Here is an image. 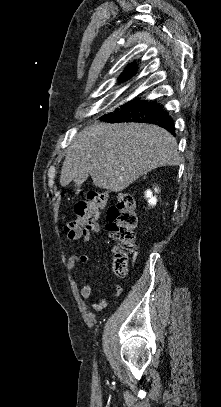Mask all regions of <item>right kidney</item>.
Instances as JSON below:
<instances>
[{"label": "right kidney", "mask_w": 221, "mask_h": 407, "mask_svg": "<svg viewBox=\"0 0 221 407\" xmlns=\"http://www.w3.org/2000/svg\"><path fill=\"white\" fill-rule=\"evenodd\" d=\"M155 192H158V190H157L156 188H155ZM145 196H146V198L148 199L149 205H151V206L156 205V203H157V198H156V196H153V193H152L151 190H147V191L145 192Z\"/></svg>", "instance_id": "right-kidney-1"}]
</instances>
